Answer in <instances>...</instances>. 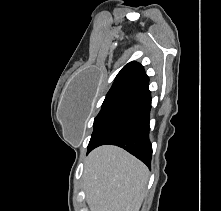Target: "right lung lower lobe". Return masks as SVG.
I'll use <instances>...</instances> for the list:
<instances>
[{"mask_svg":"<svg viewBox=\"0 0 221 211\" xmlns=\"http://www.w3.org/2000/svg\"><path fill=\"white\" fill-rule=\"evenodd\" d=\"M150 110L151 93L146 87L123 107L94 141L89 143L87 154L100 145L112 144L124 148L150 168L152 155L149 141Z\"/></svg>","mask_w":221,"mask_h":211,"instance_id":"right-lung-lower-lobe-1","label":"right lung lower lobe"}]
</instances>
